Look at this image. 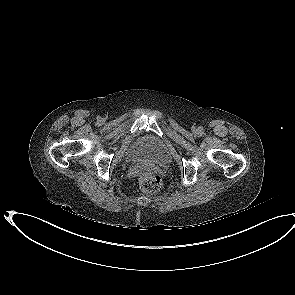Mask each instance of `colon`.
I'll use <instances>...</instances> for the list:
<instances>
[{"mask_svg": "<svg viewBox=\"0 0 295 295\" xmlns=\"http://www.w3.org/2000/svg\"><path fill=\"white\" fill-rule=\"evenodd\" d=\"M140 189L145 193H156L162 187L161 177L149 168H142L138 174Z\"/></svg>", "mask_w": 295, "mask_h": 295, "instance_id": "1", "label": "colon"}]
</instances>
